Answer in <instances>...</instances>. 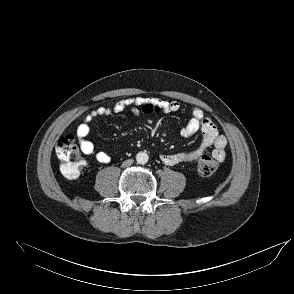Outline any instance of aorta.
Listing matches in <instances>:
<instances>
[{"label":"aorta","instance_id":"1","mask_svg":"<svg viewBox=\"0 0 294 294\" xmlns=\"http://www.w3.org/2000/svg\"><path fill=\"white\" fill-rule=\"evenodd\" d=\"M149 156L146 152H139L136 155V161L139 164H146L148 162Z\"/></svg>","mask_w":294,"mask_h":294}]
</instances>
